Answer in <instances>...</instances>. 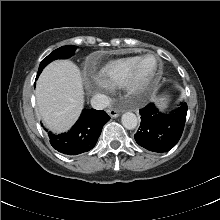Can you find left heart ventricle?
<instances>
[{
  "label": "left heart ventricle",
  "instance_id": "b2bd125f",
  "mask_svg": "<svg viewBox=\"0 0 220 220\" xmlns=\"http://www.w3.org/2000/svg\"><path fill=\"white\" fill-rule=\"evenodd\" d=\"M156 62L152 57L145 59L141 65V72L143 75H150L155 71Z\"/></svg>",
  "mask_w": 220,
  "mask_h": 220
}]
</instances>
